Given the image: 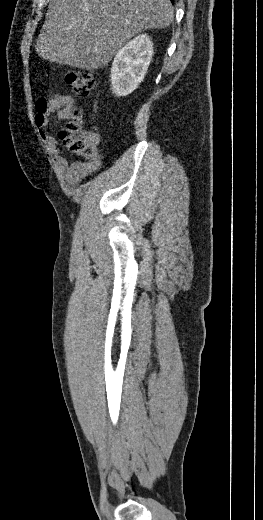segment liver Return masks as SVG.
<instances>
[{
	"mask_svg": "<svg viewBox=\"0 0 263 520\" xmlns=\"http://www.w3.org/2000/svg\"><path fill=\"white\" fill-rule=\"evenodd\" d=\"M173 18L169 0H50L35 50L52 63L99 69L133 36Z\"/></svg>",
	"mask_w": 263,
	"mask_h": 520,
	"instance_id": "obj_1",
	"label": "liver"
}]
</instances>
